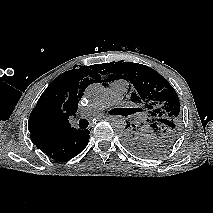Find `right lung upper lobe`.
<instances>
[{
  "label": "right lung upper lobe",
  "instance_id": "1",
  "mask_svg": "<svg viewBox=\"0 0 213 213\" xmlns=\"http://www.w3.org/2000/svg\"><path fill=\"white\" fill-rule=\"evenodd\" d=\"M95 69L92 65L90 69L66 71L42 93L28 122L30 137L35 145L40 142L55 143L77 131L70 126L68 119L76 116L78 102L86 87L100 81Z\"/></svg>",
  "mask_w": 213,
  "mask_h": 213
}]
</instances>
